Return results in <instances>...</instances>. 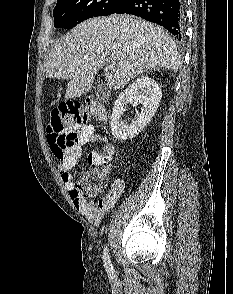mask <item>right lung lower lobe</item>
Segmentation results:
<instances>
[{
  "mask_svg": "<svg viewBox=\"0 0 233 294\" xmlns=\"http://www.w3.org/2000/svg\"><path fill=\"white\" fill-rule=\"evenodd\" d=\"M113 13L139 16L165 27L179 40L183 36V0H123Z\"/></svg>",
  "mask_w": 233,
  "mask_h": 294,
  "instance_id": "obj_1",
  "label": "right lung lower lobe"
}]
</instances>
